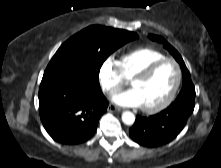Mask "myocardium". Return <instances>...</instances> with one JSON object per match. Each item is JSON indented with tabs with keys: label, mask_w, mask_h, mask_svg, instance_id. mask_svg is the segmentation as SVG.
<instances>
[{
	"label": "myocardium",
	"mask_w": 221,
	"mask_h": 168,
	"mask_svg": "<svg viewBox=\"0 0 221 168\" xmlns=\"http://www.w3.org/2000/svg\"><path fill=\"white\" fill-rule=\"evenodd\" d=\"M166 62H171L175 65L176 70H177L176 82H175L170 94L168 95V97L164 101H162L161 103H159L155 106H150V107L143 106L142 107L143 111H145L147 113L160 112V111L164 110L165 108H167L174 101V99L179 91V88L181 86L182 77H183L181 65L174 58L164 57L162 59L152 62L151 64H149L146 68H144L141 72H139L138 74H136L132 78L131 84L133 86V84L135 82L146 80L160 65H162L163 63H166Z\"/></svg>",
	"instance_id": "obj_1"
}]
</instances>
